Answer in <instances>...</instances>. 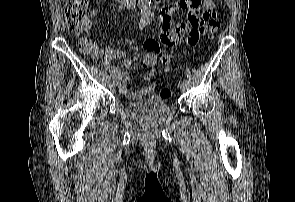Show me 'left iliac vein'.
Returning a JSON list of instances; mask_svg holds the SVG:
<instances>
[{"mask_svg":"<svg viewBox=\"0 0 295 202\" xmlns=\"http://www.w3.org/2000/svg\"><path fill=\"white\" fill-rule=\"evenodd\" d=\"M179 87H180V90L184 92L187 90L188 84L186 82H182L180 83Z\"/></svg>","mask_w":295,"mask_h":202,"instance_id":"left-iliac-vein-1","label":"left iliac vein"}]
</instances>
